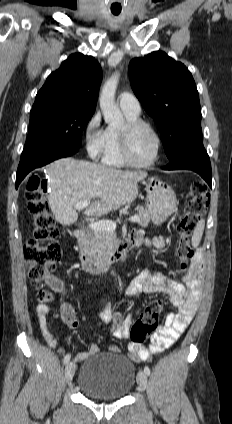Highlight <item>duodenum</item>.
<instances>
[{
  "instance_id": "410a0bca",
  "label": "duodenum",
  "mask_w": 232,
  "mask_h": 424,
  "mask_svg": "<svg viewBox=\"0 0 232 424\" xmlns=\"http://www.w3.org/2000/svg\"><path fill=\"white\" fill-rule=\"evenodd\" d=\"M131 234L132 232L126 238L119 240L107 256L101 259H95L91 256L89 247L86 243V232L82 229L75 230L74 238L82 269L90 274H98L104 272L113 264L123 260L127 251L140 245L138 237Z\"/></svg>"
}]
</instances>
